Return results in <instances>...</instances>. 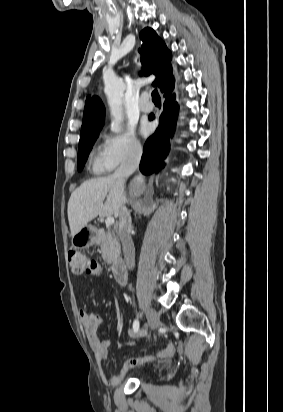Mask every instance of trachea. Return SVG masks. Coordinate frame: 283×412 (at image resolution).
I'll return each instance as SVG.
<instances>
[{"label":"trachea","instance_id":"obj_1","mask_svg":"<svg viewBox=\"0 0 283 412\" xmlns=\"http://www.w3.org/2000/svg\"><path fill=\"white\" fill-rule=\"evenodd\" d=\"M151 96H152V101H153V102H161V98H160V95H159L157 89H154V90L152 91Z\"/></svg>","mask_w":283,"mask_h":412}]
</instances>
